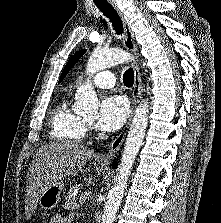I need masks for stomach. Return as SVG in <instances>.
<instances>
[{
  "instance_id": "obj_1",
  "label": "stomach",
  "mask_w": 221,
  "mask_h": 223,
  "mask_svg": "<svg viewBox=\"0 0 221 223\" xmlns=\"http://www.w3.org/2000/svg\"><path fill=\"white\" fill-rule=\"evenodd\" d=\"M105 168L104 165L95 164L97 171H102ZM64 189V185L60 182L51 184L39 197V204L45 210L55 208L60 201L61 193Z\"/></svg>"
}]
</instances>
